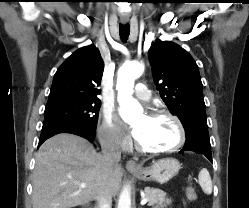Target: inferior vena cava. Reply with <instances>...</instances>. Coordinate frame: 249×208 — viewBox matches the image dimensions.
<instances>
[{"label":"inferior vena cava","mask_w":249,"mask_h":208,"mask_svg":"<svg viewBox=\"0 0 249 208\" xmlns=\"http://www.w3.org/2000/svg\"><path fill=\"white\" fill-rule=\"evenodd\" d=\"M120 142L114 135L106 136L101 142L102 160L106 173L113 170L114 167L119 165L121 160ZM112 196L108 191L102 192L96 199L95 208H111Z\"/></svg>","instance_id":"obj_1"}]
</instances>
